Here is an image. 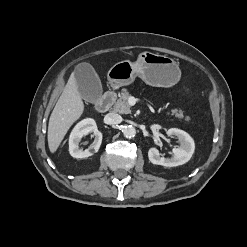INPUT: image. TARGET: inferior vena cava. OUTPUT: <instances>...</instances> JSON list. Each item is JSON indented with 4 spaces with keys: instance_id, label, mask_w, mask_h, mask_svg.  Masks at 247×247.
Instances as JSON below:
<instances>
[{
    "instance_id": "obj_1",
    "label": "inferior vena cava",
    "mask_w": 247,
    "mask_h": 247,
    "mask_svg": "<svg viewBox=\"0 0 247 247\" xmlns=\"http://www.w3.org/2000/svg\"><path fill=\"white\" fill-rule=\"evenodd\" d=\"M104 121L107 124H119L122 122V117L121 115L117 114V113H108L105 115L104 117Z\"/></svg>"
}]
</instances>
